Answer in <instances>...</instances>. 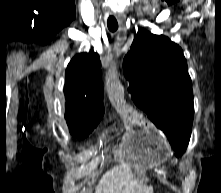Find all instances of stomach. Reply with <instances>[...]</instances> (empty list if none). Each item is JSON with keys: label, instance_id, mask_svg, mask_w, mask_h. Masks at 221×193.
<instances>
[{"label": "stomach", "instance_id": "0dacf381", "mask_svg": "<svg viewBox=\"0 0 221 193\" xmlns=\"http://www.w3.org/2000/svg\"><path fill=\"white\" fill-rule=\"evenodd\" d=\"M110 103L116 107L117 112H121L125 123L131 129L127 142V147L123 154V159H119L122 167H142L141 171L145 172V167H155L156 163L151 159H158L157 163L161 164V159H167L168 142L164 141V134L160 133L157 125H152L149 120H144V115H138L127 98H110Z\"/></svg>", "mask_w": 221, "mask_h": 193}]
</instances>
